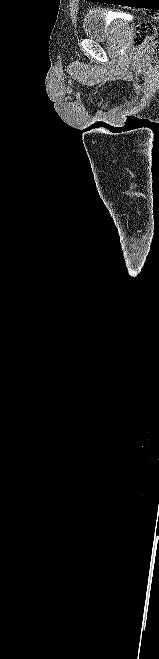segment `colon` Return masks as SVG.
<instances>
[{"label":"colon","mask_w":159,"mask_h":659,"mask_svg":"<svg viewBox=\"0 0 159 659\" xmlns=\"http://www.w3.org/2000/svg\"><path fill=\"white\" fill-rule=\"evenodd\" d=\"M157 29L155 25L148 21H141L135 31L133 38V46L135 49H142L148 41L156 37Z\"/></svg>","instance_id":"1"}]
</instances>
